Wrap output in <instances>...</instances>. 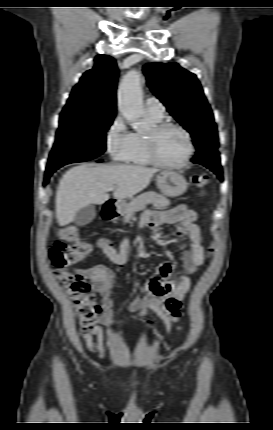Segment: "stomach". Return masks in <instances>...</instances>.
Wrapping results in <instances>:
<instances>
[{
    "mask_svg": "<svg viewBox=\"0 0 273 430\" xmlns=\"http://www.w3.org/2000/svg\"><path fill=\"white\" fill-rule=\"evenodd\" d=\"M157 186L167 197H178L187 190L188 183L185 178L173 170H164L157 175ZM126 207L125 202L120 205V210Z\"/></svg>",
    "mask_w": 273,
    "mask_h": 430,
    "instance_id": "stomach-1",
    "label": "stomach"
}]
</instances>
